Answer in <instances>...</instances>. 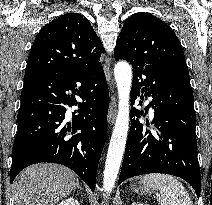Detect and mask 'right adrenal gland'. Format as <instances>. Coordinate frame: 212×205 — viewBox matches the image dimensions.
<instances>
[{"label": "right adrenal gland", "mask_w": 212, "mask_h": 205, "mask_svg": "<svg viewBox=\"0 0 212 205\" xmlns=\"http://www.w3.org/2000/svg\"><path fill=\"white\" fill-rule=\"evenodd\" d=\"M76 187L80 190L82 189L81 186L79 185V182L76 183ZM76 187H75V189H76Z\"/></svg>", "instance_id": "1"}]
</instances>
